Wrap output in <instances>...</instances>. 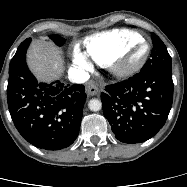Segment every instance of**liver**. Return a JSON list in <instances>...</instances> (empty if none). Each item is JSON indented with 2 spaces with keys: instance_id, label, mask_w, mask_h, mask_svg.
<instances>
[{
  "instance_id": "obj_1",
  "label": "liver",
  "mask_w": 187,
  "mask_h": 187,
  "mask_svg": "<svg viewBox=\"0 0 187 187\" xmlns=\"http://www.w3.org/2000/svg\"><path fill=\"white\" fill-rule=\"evenodd\" d=\"M28 65L36 78L44 82L56 79L64 69L61 51L40 40L34 41L28 52Z\"/></svg>"
}]
</instances>
